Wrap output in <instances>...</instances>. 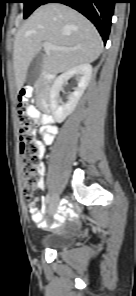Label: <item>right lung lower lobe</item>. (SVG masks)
<instances>
[{"label":"right lung lower lobe","instance_id":"1","mask_svg":"<svg viewBox=\"0 0 136 296\" xmlns=\"http://www.w3.org/2000/svg\"><path fill=\"white\" fill-rule=\"evenodd\" d=\"M46 3H63L76 9L96 26L106 43L117 0H44L42 4Z\"/></svg>","mask_w":136,"mask_h":296}]
</instances>
